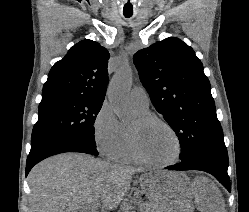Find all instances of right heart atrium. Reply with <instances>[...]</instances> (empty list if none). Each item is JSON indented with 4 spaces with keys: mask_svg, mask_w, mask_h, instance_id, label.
Here are the masks:
<instances>
[{
    "mask_svg": "<svg viewBox=\"0 0 249 212\" xmlns=\"http://www.w3.org/2000/svg\"><path fill=\"white\" fill-rule=\"evenodd\" d=\"M92 133L100 153L106 158L116 160L124 142V134L108 102H104L94 115Z\"/></svg>",
    "mask_w": 249,
    "mask_h": 212,
    "instance_id": "right-heart-atrium-1",
    "label": "right heart atrium"
}]
</instances>
